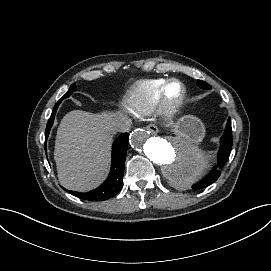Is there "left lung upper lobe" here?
<instances>
[{
    "label": "left lung upper lobe",
    "mask_w": 271,
    "mask_h": 271,
    "mask_svg": "<svg viewBox=\"0 0 271 271\" xmlns=\"http://www.w3.org/2000/svg\"><path fill=\"white\" fill-rule=\"evenodd\" d=\"M196 84L202 89H210L211 88L210 85H208L205 81H202V80H197Z\"/></svg>",
    "instance_id": "obj_1"
}]
</instances>
